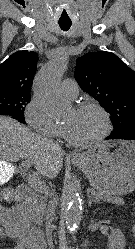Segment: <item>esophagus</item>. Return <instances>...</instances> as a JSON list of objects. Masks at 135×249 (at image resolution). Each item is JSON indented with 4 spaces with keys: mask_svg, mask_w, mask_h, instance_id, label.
Returning <instances> with one entry per match:
<instances>
[{
    "mask_svg": "<svg viewBox=\"0 0 135 249\" xmlns=\"http://www.w3.org/2000/svg\"><path fill=\"white\" fill-rule=\"evenodd\" d=\"M68 157H70V158H75V157H76V154H74V153H69V154H68Z\"/></svg>",
    "mask_w": 135,
    "mask_h": 249,
    "instance_id": "obj_1",
    "label": "esophagus"
}]
</instances>
